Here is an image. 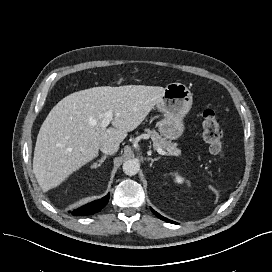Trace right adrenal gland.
I'll list each match as a JSON object with an SVG mask.
<instances>
[{
  "instance_id": "2a0ac1e0",
  "label": "right adrenal gland",
  "mask_w": 272,
  "mask_h": 272,
  "mask_svg": "<svg viewBox=\"0 0 272 272\" xmlns=\"http://www.w3.org/2000/svg\"><path fill=\"white\" fill-rule=\"evenodd\" d=\"M108 156L104 155L102 156L98 161L94 162V164L91 166V168H97L102 165V163L106 160Z\"/></svg>"
}]
</instances>
